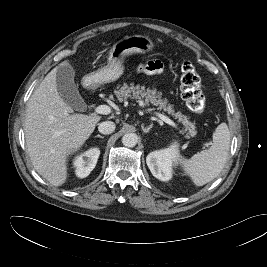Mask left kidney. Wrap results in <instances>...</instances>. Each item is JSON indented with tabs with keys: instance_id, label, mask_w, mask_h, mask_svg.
<instances>
[{
	"instance_id": "1",
	"label": "left kidney",
	"mask_w": 267,
	"mask_h": 267,
	"mask_svg": "<svg viewBox=\"0 0 267 267\" xmlns=\"http://www.w3.org/2000/svg\"><path fill=\"white\" fill-rule=\"evenodd\" d=\"M177 144L170 148L154 151L146 157V163L152 175L161 181H169L172 178V164L176 159Z\"/></svg>"
}]
</instances>
